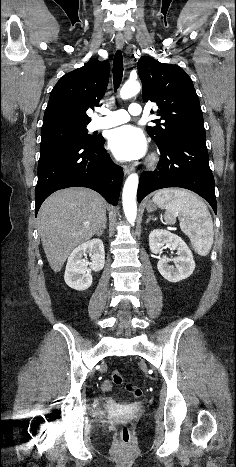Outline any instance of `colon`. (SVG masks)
<instances>
[{"mask_svg":"<svg viewBox=\"0 0 236 467\" xmlns=\"http://www.w3.org/2000/svg\"><path fill=\"white\" fill-rule=\"evenodd\" d=\"M112 380L114 384L118 386H124L125 389L136 398H140L143 395V391L141 388L133 386L125 382L124 378L121 376V374L117 370L113 371ZM119 437H120L121 442L124 444H129L131 442V431L127 425H122L120 427Z\"/></svg>","mask_w":236,"mask_h":467,"instance_id":"obj_1","label":"colon"}]
</instances>
